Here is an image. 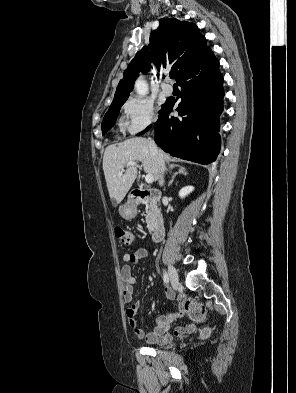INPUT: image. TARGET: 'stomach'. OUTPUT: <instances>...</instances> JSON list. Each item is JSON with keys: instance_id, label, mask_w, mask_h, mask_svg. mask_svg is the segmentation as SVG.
Here are the masks:
<instances>
[{"instance_id": "1", "label": "stomach", "mask_w": 296, "mask_h": 393, "mask_svg": "<svg viewBox=\"0 0 296 393\" xmlns=\"http://www.w3.org/2000/svg\"><path fill=\"white\" fill-rule=\"evenodd\" d=\"M119 213L124 219L130 220L136 216L137 210L133 203L126 202L119 207Z\"/></svg>"}]
</instances>
